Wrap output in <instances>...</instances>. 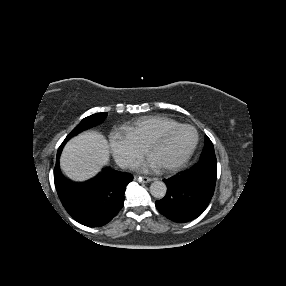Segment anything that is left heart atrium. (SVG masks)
<instances>
[{
	"instance_id": "obj_1",
	"label": "left heart atrium",
	"mask_w": 286,
	"mask_h": 286,
	"mask_svg": "<svg viewBox=\"0 0 286 286\" xmlns=\"http://www.w3.org/2000/svg\"><path fill=\"white\" fill-rule=\"evenodd\" d=\"M160 165L153 159L152 156L148 158L138 159L134 162L133 167L137 170H148V169H156Z\"/></svg>"
}]
</instances>
